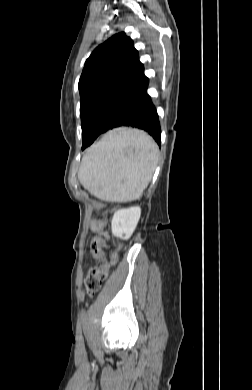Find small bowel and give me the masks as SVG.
<instances>
[{"label":"small bowel","instance_id":"c3829d8e","mask_svg":"<svg viewBox=\"0 0 252 390\" xmlns=\"http://www.w3.org/2000/svg\"><path fill=\"white\" fill-rule=\"evenodd\" d=\"M96 224H97V222H96V221H94V222H93V228H94L95 230H97V226H96Z\"/></svg>","mask_w":252,"mask_h":390}]
</instances>
